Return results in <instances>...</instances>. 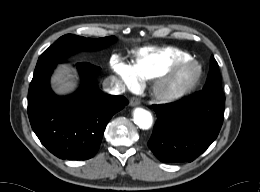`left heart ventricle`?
Listing matches in <instances>:
<instances>
[{
	"label": "left heart ventricle",
	"mask_w": 260,
	"mask_h": 192,
	"mask_svg": "<svg viewBox=\"0 0 260 192\" xmlns=\"http://www.w3.org/2000/svg\"><path fill=\"white\" fill-rule=\"evenodd\" d=\"M193 75V70L192 69H186L179 73L177 77L170 83V86H177L180 85L187 80H189Z\"/></svg>",
	"instance_id": "1"
}]
</instances>
